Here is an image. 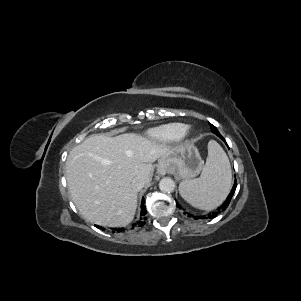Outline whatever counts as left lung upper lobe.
<instances>
[{
	"label": "left lung upper lobe",
	"instance_id": "5c2ea615",
	"mask_svg": "<svg viewBox=\"0 0 301 301\" xmlns=\"http://www.w3.org/2000/svg\"><path fill=\"white\" fill-rule=\"evenodd\" d=\"M210 127H211L212 132L215 131V130H217V128L214 125H212V124H210Z\"/></svg>",
	"mask_w": 301,
	"mask_h": 301
}]
</instances>
